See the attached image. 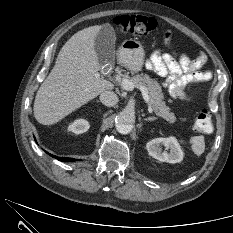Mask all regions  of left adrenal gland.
Segmentation results:
<instances>
[{
  "label": "left adrenal gland",
  "instance_id": "a2214340",
  "mask_svg": "<svg viewBox=\"0 0 233 233\" xmlns=\"http://www.w3.org/2000/svg\"><path fill=\"white\" fill-rule=\"evenodd\" d=\"M144 121H155L156 118L155 117H148V118H144Z\"/></svg>",
  "mask_w": 233,
  "mask_h": 233
}]
</instances>
